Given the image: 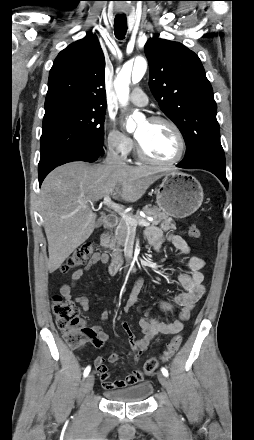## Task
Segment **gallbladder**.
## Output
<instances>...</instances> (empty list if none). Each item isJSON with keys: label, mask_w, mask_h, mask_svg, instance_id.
<instances>
[{"label": "gallbladder", "mask_w": 254, "mask_h": 440, "mask_svg": "<svg viewBox=\"0 0 254 440\" xmlns=\"http://www.w3.org/2000/svg\"><path fill=\"white\" fill-rule=\"evenodd\" d=\"M100 225H101V221L98 220V221L96 222V226L99 227Z\"/></svg>", "instance_id": "gallbladder-1"}]
</instances>
